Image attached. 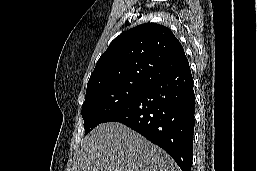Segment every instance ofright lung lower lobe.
Masks as SVG:
<instances>
[{
  "label": "right lung lower lobe",
  "instance_id": "obj_1",
  "mask_svg": "<svg viewBox=\"0 0 257 171\" xmlns=\"http://www.w3.org/2000/svg\"><path fill=\"white\" fill-rule=\"evenodd\" d=\"M195 94L189 64L148 85L105 122H121L164 149L182 171H191Z\"/></svg>",
  "mask_w": 257,
  "mask_h": 171
}]
</instances>
